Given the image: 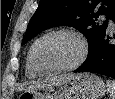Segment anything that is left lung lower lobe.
Listing matches in <instances>:
<instances>
[{
    "label": "left lung lower lobe",
    "instance_id": "0a47b994",
    "mask_svg": "<svg viewBox=\"0 0 115 99\" xmlns=\"http://www.w3.org/2000/svg\"><path fill=\"white\" fill-rule=\"evenodd\" d=\"M115 23V16L113 17ZM107 31L96 49L74 72H93L115 79V44H111ZM115 39V34H114Z\"/></svg>",
    "mask_w": 115,
    "mask_h": 99
}]
</instances>
